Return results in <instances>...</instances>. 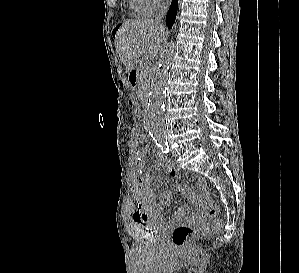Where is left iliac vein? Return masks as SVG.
<instances>
[{
  "label": "left iliac vein",
  "mask_w": 299,
  "mask_h": 273,
  "mask_svg": "<svg viewBox=\"0 0 299 273\" xmlns=\"http://www.w3.org/2000/svg\"><path fill=\"white\" fill-rule=\"evenodd\" d=\"M172 154H173V155H176V151H175V150H172Z\"/></svg>",
  "instance_id": "1"
}]
</instances>
